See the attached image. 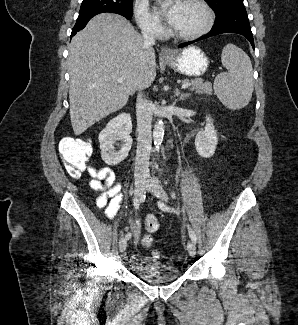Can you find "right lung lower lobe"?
<instances>
[{"mask_svg": "<svg viewBox=\"0 0 298 325\" xmlns=\"http://www.w3.org/2000/svg\"><path fill=\"white\" fill-rule=\"evenodd\" d=\"M95 16V15H94ZM93 16L87 17V18H83V19H77L76 24L74 26V28L72 29V33H71V37L74 36L78 31H80L81 29H83L87 22L92 18ZM127 19H131L130 17H126Z\"/></svg>", "mask_w": 298, "mask_h": 325, "instance_id": "obj_1", "label": "right lung lower lobe"}]
</instances>
